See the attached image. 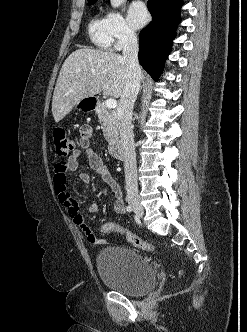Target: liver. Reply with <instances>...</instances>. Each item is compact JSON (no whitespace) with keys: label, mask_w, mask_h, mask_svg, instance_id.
Segmentation results:
<instances>
[{"label":"liver","mask_w":247,"mask_h":332,"mask_svg":"<svg viewBox=\"0 0 247 332\" xmlns=\"http://www.w3.org/2000/svg\"><path fill=\"white\" fill-rule=\"evenodd\" d=\"M127 79V62L121 55L93 48L77 49L64 61L56 82L52 100L55 122L61 121L83 98L100 92L121 97Z\"/></svg>","instance_id":"obj_1"}]
</instances>
